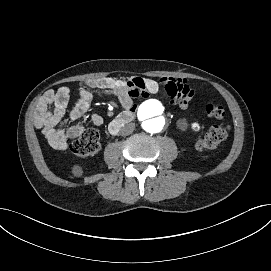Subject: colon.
Masks as SVG:
<instances>
[{"label": "colon", "mask_w": 271, "mask_h": 271, "mask_svg": "<svg viewBox=\"0 0 271 271\" xmlns=\"http://www.w3.org/2000/svg\"><path fill=\"white\" fill-rule=\"evenodd\" d=\"M206 111L209 117L213 119H221L224 116V108L220 102L208 104ZM228 133L229 126L225 124L215 125L197 141L196 147L199 150L214 149L226 140ZM99 148V134L94 129L86 130L70 145L71 151L81 157L94 155L99 151Z\"/></svg>", "instance_id": "obj_1"}]
</instances>
